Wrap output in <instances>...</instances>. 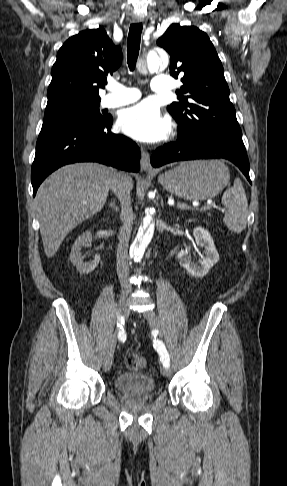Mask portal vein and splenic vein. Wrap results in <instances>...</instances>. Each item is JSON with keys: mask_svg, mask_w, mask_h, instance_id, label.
I'll return each mask as SVG.
<instances>
[{"mask_svg": "<svg viewBox=\"0 0 287 486\" xmlns=\"http://www.w3.org/2000/svg\"><path fill=\"white\" fill-rule=\"evenodd\" d=\"M169 205H173V202H169ZM211 207H215V203H213L212 201H208L207 204L203 207H201L200 209H198V207H191L185 203H178L177 204V208L181 209V210H200V211H206L207 209L211 208ZM222 211L224 209H221Z\"/></svg>", "mask_w": 287, "mask_h": 486, "instance_id": "1", "label": "portal vein and splenic vein"}]
</instances>
